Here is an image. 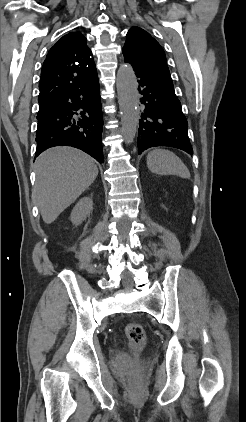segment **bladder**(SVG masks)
<instances>
[{
    "instance_id": "bladder-1",
    "label": "bladder",
    "mask_w": 246,
    "mask_h": 422,
    "mask_svg": "<svg viewBox=\"0 0 246 422\" xmlns=\"http://www.w3.org/2000/svg\"><path fill=\"white\" fill-rule=\"evenodd\" d=\"M115 361L118 366L125 367L130 363V358L126 354H119Z\"/></svg>"
}]
</instances>
